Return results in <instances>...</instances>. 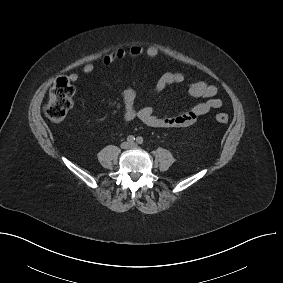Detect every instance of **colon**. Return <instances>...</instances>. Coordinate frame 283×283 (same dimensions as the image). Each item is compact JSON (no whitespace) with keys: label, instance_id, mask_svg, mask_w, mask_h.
<instances>
[{"label":"colon","instance_id":"1","mask_svg":"<svg viewBox=\"0 0 283 283\" xmlns=\"http://www.w3.org/2000/svg\"><path fill=\"white\" fill-rule=\"evenodd\" d=\"M74 93L75 89L69 80L58 79L51 87L48 101L43 108L45 116L52 122H62L73 106ZM215 118L217 122L222 124L229 121V116L226 113H218Z\"/></svg>","mask_w":283,"mask_h":283}]
</instances>
